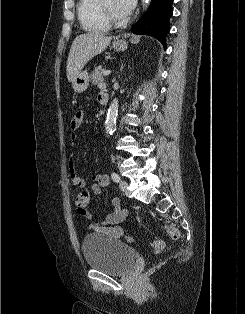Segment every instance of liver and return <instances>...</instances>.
Segmentation results:
<instances>
[{"instance_id": "liver-1", "label": "liver", "mask_w": 245, "mask_h": 314, "mask_svg": "<svg viewBox=\"0 0 245 314\" xmlns=\"http://www.w3.org/2000/svg\"><path fill=\"white\" fill-rule=\"evenodd\" d=\"M111 40L112 37L97 32L78 35L71 45L67 59L68 81L72 82L88 61L101 54L108 47Z\"/></svg>"}]
</instances>
